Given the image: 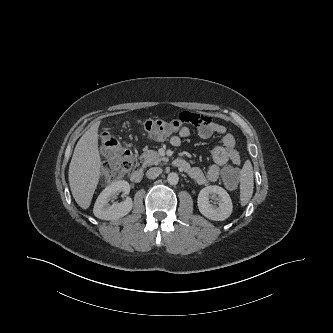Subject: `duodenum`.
Wrapping results in <instances>:
<instances>
[{
    "label": "duodenum",
    "instance_id": "duodenum-1",
    "mask_svg": "<svg viewBox=\"0 0 333 333\" xmlns=\"http://www.w3.org/2000/svg\"><path fill=\"white\" fill-rule=\"evenodd\" d=\"M173 164L182 170H186L189 168L188 162L182 158H175L173 160ZM143 175H144L143 169L138 168L130 174V179L134 183H139L143 179Z\"/></svg>",
    "mask_w": 333,
    "mask_h": 333
}]
</instances>
